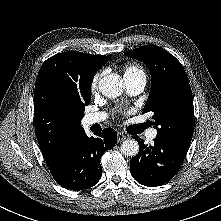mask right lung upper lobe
Returning <instances> with one entry per match:
<instances>
[{
  "label": "right lung upper lobe",
  "mask_w": 221,
  "mask_h": 221,
  "mask_svg": "<svg viewBox=\"0 0 221 221\" xmlns=\"http://www.w3.org/2000/svg\"><path fill=\"white\" fill-rule=\"evenodd\" d=\"M111 55L69 51L56 54L41 66L34 91V121L47 164L54 162L82 130L77 100L82 98L95 72Z\"/></svg>",
  "instance_id": "cb5924a9"
}]
</instances>
